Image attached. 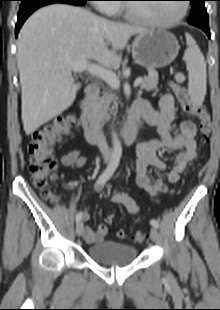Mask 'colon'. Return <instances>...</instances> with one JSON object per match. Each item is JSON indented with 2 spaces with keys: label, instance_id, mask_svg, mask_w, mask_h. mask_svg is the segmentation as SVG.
<instances>
[{
  "label": "colon",
  "instance_id": "obj_1",
  "mask_svg": "<svg viewBox=\"0 0 220 310\" xmlns=\"http://www.w3.org/2000/svg\"><path fill=\"white\" fill-rule=\"evenodd\" d=\"M182 80L183 76L178 75L176 82L172 84V88L182 110L199 121V140L201 143H205L212 131L210 114L204 105L190 98L187 89L180 84ZM73 125L74 119L72 117L56 120L52 124L35 131L28 148L30 154L29 170L34 178V183L43 191L44 196L53 202L59 199L55 189L49 187L50 182L55 177L57 168V160L53 155V148L64 135L71 131ZM114 218L113 214H109L106 217V222L111 224ZM116 235L119 239H124L126 232L119 230ZM144 239L145 235L141 231H137L133 235V240L136 243H141Z\"/></svg>",
  "mask_w": 220,
  "mask_h": 310
}]
</instances>
